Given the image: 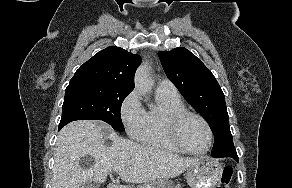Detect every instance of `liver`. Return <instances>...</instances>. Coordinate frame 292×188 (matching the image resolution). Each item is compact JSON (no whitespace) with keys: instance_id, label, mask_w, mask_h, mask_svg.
<instances>
[{"instance_id":"6515ba94","label":"liver","mask_w":292,"mask_h":188,"mask_svg":"<svg viewBox=\"0 0 292 188\" xmlns=\"http://www.w3.org/2000/svg\"><path fill=\"white\" fill-rule=\"evenodd\" d=\"M111 145L105 144L106 140ZM91 156L94 163L80 166V159ZM52 188H80L91 180L104 183L114 168L122 180L146 183L180 175L198 161L194 157H180L168 151L140 145L118 136L100 121L79 120L61 129L55 145Z\"/></svg>"}]
</instances>
